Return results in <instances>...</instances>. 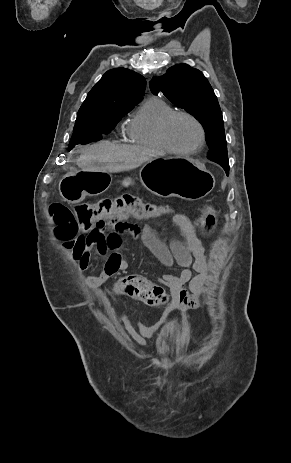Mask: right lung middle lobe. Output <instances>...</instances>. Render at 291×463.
<instances>
[{
	"instance_id": "right-lung-middle-lobe-1",
	"label": "right lung middle lobe",
	"mask_w": 291,
	"mask_h": 463,
	"mask_svg": "<svg viewBox=\"0 0 291 463\" xmlns=\"http://www.w3.org/2000/svg\"><path fill=\"white\" fill-rule=\"evenodd\" d=\"M133 106L107 104L94 109L79 110L69 150L78 144L101 140Z\"/></svg>"
}]
</instances>
